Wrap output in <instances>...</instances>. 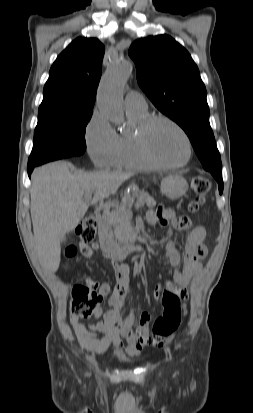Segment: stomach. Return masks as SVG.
Masks as SVG:
<instances>
[{"label": "stomach", "mask_w": 253, "mask_h": 413, "mask_svg": "<svg viewBox=\"0 0 253 413\" xmlns=\"http://www.w3.org/2000/svg\"><path fill=\"white\" fill-rule=\"evenodd\" d=\"M160 190L167 198L176 200L186 193L188 183L181 175L174 174L162 179Z\"/></svg>", "instance_id": "1"}]
</instances>
